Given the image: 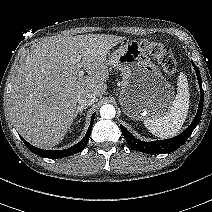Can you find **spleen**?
I'll return each instance as SVG.
<instances>
[{
	"label": "spleen",
	"instance_id": "3e777b00",
	"mask_svg": "<svg viewBox=\"0 0 212 212\" xmlns=\"http://www.w3.org/2000/svg\"><path fill=\"white\" fill-rule=\"evenodd\" d=\"M177 94L170 111L156 119H145V127L155 136L168 138L175 136L182 128L189 109L188 81L185 74L180 73L177 83Z\"/></svg>",
	"mask_w": 212,
	"mask_h": 212
}]
</instances>
